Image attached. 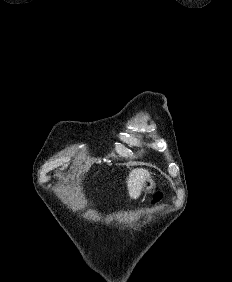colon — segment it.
I'll return each mask as SVG.
<instances>
[{
  "label": "colon",
  "instance_id": "5ec220e1",
  "mask_svg": "<svg viewBox=\"0 0 232 282\" xmlns=\"http://www.w3.org/2000/svg\"><path fill=\"white\" fill-rule=\"evenodd\" d=\"M162 197H163L162 193L160 192L156 193L154 196V202L158 203L159 201H161Z\"/></svg>",
  "mask_w": 232,
  "mask_h": 282
}]
</instances>
